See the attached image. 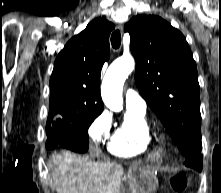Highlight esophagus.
Listing matches in <instances>:
<instances>
[{
  "instance_id": "1",
  "label": "esophagus",
  "mask_w": 221,
  "mask_h": 193,
  "mask_svg": "<svg viewBox=\"0 0 221 193\" xmlns=\"http://www.w3.org/2000/svg\"><path fill=\"white\" fill-rule=\"evenodd\" d=\"M118 28H119L120 31H122V30H123V25L120 24V25L118 26Z\"/></svg>"
}]
</instances>
